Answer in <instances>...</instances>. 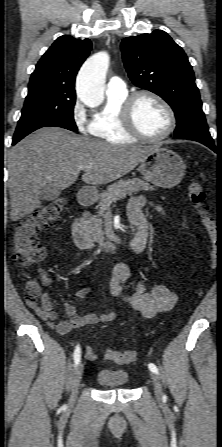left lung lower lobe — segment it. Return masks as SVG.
<instances>
[{
    "label": "left lung lower lobe",
    "mask_w": 222,
    "mask_h": 447,
    "mask_svg": "<svg viewBox=\"0 0 222 447\" xmlns=\"http://www.w3.org/2000/svg\"><path fill=\"white\" fill-rule=\"evenodd\" d=\"M200 143L208 146L209 148H211L213 151L216 152L215 144L213 141L212 142L201 141Z\"/></svg>",
    "instance_id": "1"
}]
</instances>
